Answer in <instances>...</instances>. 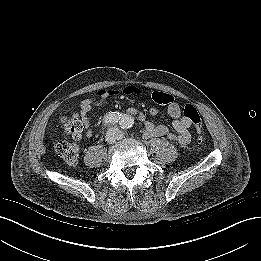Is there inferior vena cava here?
<instances>
[{
  "label": "inferior vena cava",
  "mask_w": 261,
  "mask_h": 261,
  "mask_svg": "<svg viewBox=\"0 0 261 261\" xmlns=\"http://www.w3.org/2000/svg\"><path fill=\"white\" fill-rule=\"evenodd\" d=\"M119 135L120 134L117 128H109L106 137L109 142H114L117 138H119Z\"/></svg>",
  "instance_id": "1"
}]
</instances>
